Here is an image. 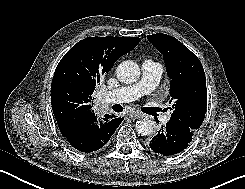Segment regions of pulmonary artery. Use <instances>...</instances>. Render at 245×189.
Here are the masks:
<instances>
[{
	"instance_id": "e3ab8cb5",
	"label": "pulmonary artery",
	"mask_w": 245,
	"mask_h": 189,
	"mask_svg": "<svg viewBox=\"0 0 245 189\" xmlns=\"http://www.w3.org/2000/svg\"><path fill=\"white\" fill-rule=\"evenodd\" d=\"M141 71L142 76L137 83L107 92L105 100L109 103H127L153 91L160 82L163 66L158 62L146 60L141 65ZM167 120L168 115L164 118V121Z\"/></svg>"
}]
</instances>
